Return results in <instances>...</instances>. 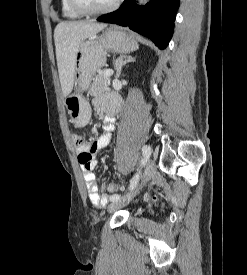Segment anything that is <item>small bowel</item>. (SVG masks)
I'll list each match as a JSON object with an SVG mask.
<instances>
[{
    "mask_svg": "<svg viewBox=\"0 0 247 275\" xmlns=\"http://www.w3.org/2000/svg\"><path fill=\"white\" fill-rule=\"evenodd\" d=\"M94 104L98 110L108 111L103 126L104 131L92 143L83 144L78 148V162L81 165L90 201L94 205H105L108 201V195L96 183L94 170L97 167V160L95 155L105 148L112 139L115 123L114 112L118 110L120 100L115 95H102L94 100Z\"/></svg>",
    "mask_w": 247,
    "mask_h": 275,
    "instance_id": "obj_1",
    "label": "small bowel"
}]
</instances>
